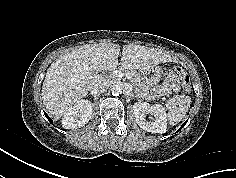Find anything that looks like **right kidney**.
Wrapping results in <instances>:
<instances>
[{
  "label": "right kidney",
  "mask_w": 236,
  "mask_h": 178,
  "mask_svg": "<svg viewBox=\"0 0 236 178\" xmlns=\"http://www.w3.org/2000/svg\"><path fill=\"white\" fill-rule=\"evenodd\" d=\"M92 116V103L82 99L76 102L64 114L62 127L65 129H77L89 122Z\"/></svg>",
  "instance_id": "ca27d5eb"
}]
</instances>
